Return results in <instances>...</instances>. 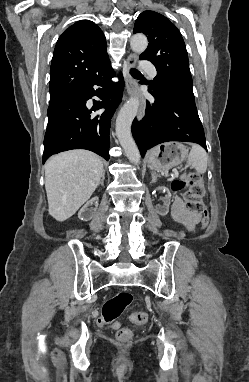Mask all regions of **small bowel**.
I'll use <instances>...</instances> for the list:
<instances>
[{
  "label": "small bowel",
  "instance_id": "obj_1",
  "mask_svg": "<svg viewBox=\"0 0 249 382\" xmlns=\"http://www.w3.org/2000/svg\"><path fill=\"white\" fill-rule=\"evenodd\" d=\"M172 213L175 220L184 225L188 230H193L199 222V216L196 213L185 210L179 198H175L173 202Z\"/></svg>",
  "mask_w": 249,
  "mask_h": 382
}]
</instances>
